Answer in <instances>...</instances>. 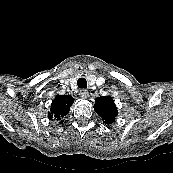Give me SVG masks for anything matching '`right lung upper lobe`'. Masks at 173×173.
<instances>
[{
	"mask_svg": "<svg viewBox=\"0 0 173 173\" xmlns=\"http://www.w3.org/2000/svg\"><path fill=\"white\" fill-rule=\"evenodd\" d=\"M73 102L74 98L70 95H57L51 104L49 118L61 121L60 123L62 124V118L68 114Z\"/></svg>",
	"mask_w": 173,
	"mask_h": 173,
	"instance_id": "obj_1",
	"label": "right lung upper lobe"
}]
</instances>
